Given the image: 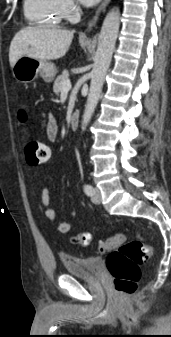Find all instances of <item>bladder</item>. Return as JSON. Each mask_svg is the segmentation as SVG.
<instances>
[{
  "label": "bladder",
  "instance_id": "obj_1",
  "mask_svg": "<svg viewBox=\"0 0 171 337\" xmlns=\"http://www.w3.org/2000/svg\"><path fill=\"white\" fill-rule=\"evenodd\" d=\"M65 272L70 275L94 278L101 273L102 259L98 257L63 256Z\"/></svg>",
  "mask_w": 171,
  "mask_h": 337
}]
</instances>
